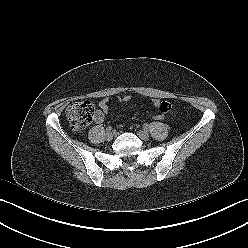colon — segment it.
<instances>
[{"label":"colon","instance_id":"obj_1","mask_svg":"<svg viewBox=\"0 0 248 248\" xmlns=\"http://www.w3.org/2000/svg\"><path fill=\"white\" fill-rule=\"evenodd\" d=\"M94 112L95 107L91 101H79L74 102L67 107L66 117L74 131H81L91 123L94 117ZM153 119L157 122H162L164 116L162 114H157Z\"/></svg>","mask_w":248,"mask_h":248}]
</instances>
